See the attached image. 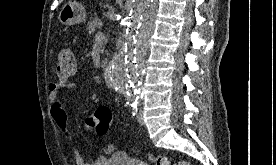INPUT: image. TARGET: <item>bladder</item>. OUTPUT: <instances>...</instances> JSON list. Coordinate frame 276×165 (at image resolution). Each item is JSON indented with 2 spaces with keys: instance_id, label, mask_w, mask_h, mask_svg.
<instances>
[{
  "instance_id": "1",
  "label": "bladder",
  "mask_w": 276,
  "mask_h": 165,
  "mask_svg": "<svg viewBox=\"0 0 276 165\" xmlns=\"http://www.w3.org/2000/svg\"><path fill=\"white\" fill-rule=\"evenodd\" d=\"M109 165H148L144 161L129 157L125 154H117Z\"/></svg>"
}]
</instances>
